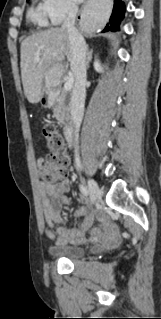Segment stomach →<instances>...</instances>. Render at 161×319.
Masks as SVG:
<instances>
[{
	"instance_id": "stomach-1",
	"label": "stomach",
	"mask_w": 161,
	"mask_h": 319,
	"mask_svg": "<svg viewBox=\"0 0 161 319\" xmlns=\"http://www.w3.org/2000/svg\"><path fill=\"white\" fill-rule=\"evenodd\" d=\"M63 70L59 65H54L50 67L43 77V91L45 93H50L60 81Z\"/></svg>"
}]
</instances>
